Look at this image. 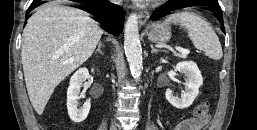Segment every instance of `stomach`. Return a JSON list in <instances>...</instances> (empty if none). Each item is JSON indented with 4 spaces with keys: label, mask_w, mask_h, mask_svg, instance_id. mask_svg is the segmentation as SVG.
Instances as JSON below:
<instances>
[{
    "label": "stomach",
    "mask_w": 257,
    "mask_h": 130,
    "mask_svg": "<svg viewBox=\"0 0 257 130\" xmlns=\"http://www.w3.org/2000/svg\"><path fill=\"white\" fill-rule=\"evenodd\" d=\"M171 38V28L169 24L157 22L152 25L148 39L153 43H165Z\"/></svg>",
    "instance_id": "stomach-1"
}]
</instances>
